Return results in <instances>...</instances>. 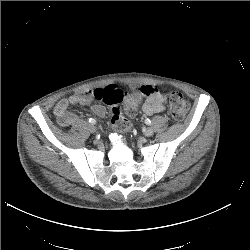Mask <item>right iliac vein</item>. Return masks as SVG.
I'll list each match as a JSON object with an SVG mask.
<instances>
[{"label":"right iliac vein","mask_w":250,"mask_h":250,"mask_svg":"<svg viewBox=\"0 0 250 250\" xmlns=\"http://www.w3.org/2000/svg\"><path fill=\"white\" fill-rule=\"evenodd\" d=\"M89 131H90L91 133H95V132H96V127L93 126V125H90V126H89Z\"/></svg>","instance_id":"1"}]
</instances>
